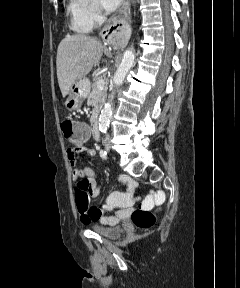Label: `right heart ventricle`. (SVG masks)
Instances as JSON below:
<instances>
[{"label":"right heart ventricle","instance_id":"obj_1","mask_svg":"<svg viewBox=\"0 0 240 288\" xmlns=\"http://www.w3.org/2000/svg\"><path fill=\"white\" fill-rule=\"evenodd\" d=\"M67 12L71 27L74 31L84 34L91 30L92 25L84 18L78 0H71Z\"/></svg>","mask_w":240,"mask_h":288}]
</instances>
